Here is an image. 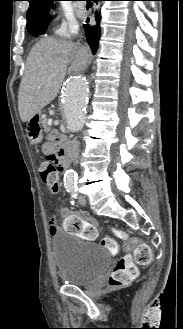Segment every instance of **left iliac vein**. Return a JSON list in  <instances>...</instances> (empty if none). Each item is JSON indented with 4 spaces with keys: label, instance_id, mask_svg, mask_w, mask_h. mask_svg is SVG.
<instances>
[{
    "label": "left iliac vein",
    "instance_id": "1",
    "mask_svg": "<svg viewBox=\"0 0 183 329\" xmlns=\"http://www.w3.org/2000/svg\"><path fill=\"white\" fill-rule=\"evenodd\" d=\"M78 202L80 205H86V198L84 196H79Z\"/></svg>",
    "mask_w": 183,
    "mask_h": 329
}]
</instances>
